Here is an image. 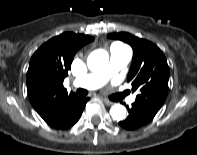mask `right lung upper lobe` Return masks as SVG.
Instances as JSON below:
<instances>
[{
    "label": "right lung upper lobe",
    "instance_id": "obj_1",
    "mask_svg": "<svg viewBox=\"0 0 197 155\" xmlns=\"http://www.w3.org/2000/svg\"><path fill=\"white\" fill-rule=\"evenodd\" d=\"M93 41L88 35L66 32L43 44L32 56L27 72L28 97L42 119L52 125L77 97L63 86L75 53Z\"/></svg>",
    "mask_w": 197,
    "mask_h": 155
}]
</instances>
